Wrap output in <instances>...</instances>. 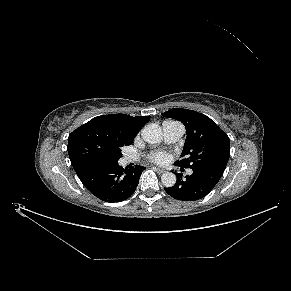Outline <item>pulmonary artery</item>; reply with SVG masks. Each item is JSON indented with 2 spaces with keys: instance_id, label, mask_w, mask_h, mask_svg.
<instances>
[{
  "instance_id": "e3ab8cb5",
  "label": "pulmonary artery",
  "mask_w": 291,
  "mask_h": 291,
  "mask_svg": "<svg viewBox=\"0 0 291 291\" xmlns=\"http://www.w3.org/2000/svg\"><path fill=\"white\" fill-rule=\"evenodd\" d=\"M164 140L167 143L177 142L184 134V126L180 122L166 121L162 125ZM136 158L134 156L127 155L122 159L123 163H130ZM189 175L192 174V170L187 171Z\"/></svg>"
}]
</instances>
